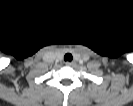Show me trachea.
I'll list each match as a JSON object with an SVG mask.
<instances>
[{
    "label": "trachea",
    "mask_w": 133,
    "mask_h": 106,
    "mask_svg": "<svg viewBox=\"0 0 133 106\" xmlns=\"http://www.w3.org/2000/svg\"><path fill=\"white\" fill-rule=\"evenodd\" d=\"M72 59H73V57H72V55L70 54V53H67V54H65V56H64V60L65 61H72Z\"/></svg>",
    "instance_id": "obj_1"
}]
</instances>
